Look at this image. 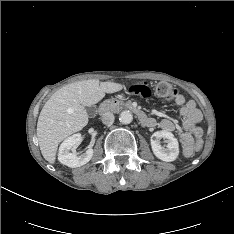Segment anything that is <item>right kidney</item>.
<instances>
[{
  "mask_svg": "<svg viewBox=\"0 0 234 234\" xmlns=\"http://www.w3.org/2000/svg\"><path fill=\"white\" fill-rule=\"evenodd\" d=\"M82 141L80 133L74 134L65 139L59 147L58 160L63 165L70 168H76L88 163L93 156V149L88 148L83 154L78 156L76 153H71L70 150L78 146Z\"/></svg>",
  "mask_w": 234,
  "mask_h": 234,
  "instance_id": "obj_1",
  "label": "right kidney"
}]
</instances>
